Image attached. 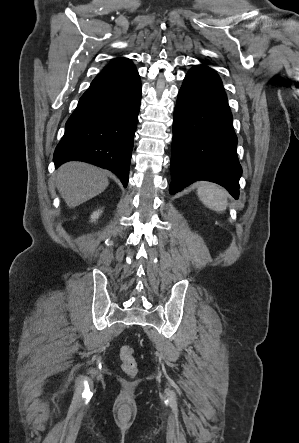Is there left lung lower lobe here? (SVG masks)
Segmentation results:
<instances>
[{
	"mask_svg": "<svg viewBox=\"0 0 299 443\" xmlns=\"http://www.w3.org/2000/svg\"><path fill=\"white\" fill-rule=\"evenodd\" d=\"M236 146L220 77L205 65L194 66L183 81L174 111L170 194L206 180L238 199L242 168Z\"/></svg>",
	"mask_w": 299,
	"mask_h": 443,
	"instance_id": "obj_1",
	"label": "left lung lower lobe"
}]
</instances>
